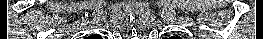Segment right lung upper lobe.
<instances>
[{
  "label": "right lung upper lobe",
  "mask_w": 263,
  "mask_h": 39,
  "mask_svg": "<svg viewBox=\"0 0 263 39\" xmlns=\"http://www.w3.org/2000/svg\"><path fill=\"white\" fill-rule=\"evenodd\" d=\"M93 38H95V37H97V36H92ZM89 38H91V37H89ZM96 39H98V38H96Z\"/></svg>",
  "instance_id": "cb5924a9"
}]
</instances>
